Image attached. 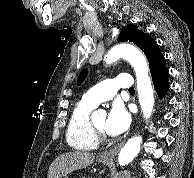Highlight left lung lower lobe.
<instances>
[{
  "instance_id": "left-lung-lower-lobe-1",
  "label": "left lung lower lobe",
  "mask_w": 194,
  "mask_h": 178,
  "mask_svg": "<svg viewBox=\"0 0 194 178\" xmlns=\"http://www.w3.org/2000/svg\"><path fill=\"white\" fill-rule=\"evenodd\" d=\"M150 71L157 94L162 98L169 88L168 70L165 65L164 56L154 64Z\"/></svg>"
}]
</instances>
